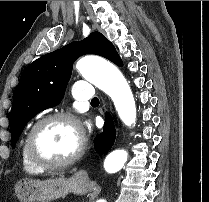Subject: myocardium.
I'll use <instances>...</instances> for the list:
<instances>
[{
	"label": "myocardium",
	"mask_w": 209,
	"mask_h": 202,
	"mask_svg": "<svg viewBox=\"0 0 209 202\" xmlns=\"http://www.w3.org/2000/svg\"><path fill=\"white\" fill-rule=\"evenodd\" d=\"M51 121L68 122L72 124L73 126H75L80 133V140H79V144H78L76 151L68 158L62 161H58V162H47V161L41 160L38 157H36L34 150H33V139H34L35 133L41 126ZM85 148H86V138L81 129L78 119L75 116L64 113V112H56V113L48 114L38 119L28 131L27 137H26V143H25V153L28 157V160L34 166H36L37 168L41 170H55V169L66 168L70 166L71 164H73L74 162H76L83 155V153L85 152Z\"/></svg>",
	"instance_id": "1"
}]
</instances>
